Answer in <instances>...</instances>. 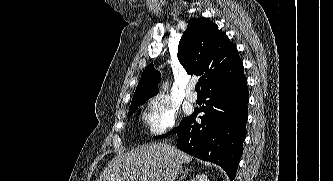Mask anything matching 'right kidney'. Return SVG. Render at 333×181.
I'll use <instances>...</instances> for the list:
<instances>
[{
    "label": "right kidney",
    "instance_id": "1",
    "mask_svg": "<svg viewBox=\"0 0 333 181\" xmlns=\"http://www.w3.org/2000/svg\"><path fill=\"white\" fill-rule=\"evenodd\" d=\"M191 181H209L208 177L205 174H198Z\"/></svg>",
    "mask_w": 333,
    "mask_h": 181
}]
</instances>
